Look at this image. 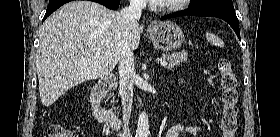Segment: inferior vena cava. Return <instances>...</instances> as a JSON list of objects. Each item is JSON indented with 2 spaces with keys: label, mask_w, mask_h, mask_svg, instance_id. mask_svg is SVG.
Instances as JSON below:
<instances>
[{
  "label": "inferior vena cava",
  "mask_w": 280,
  "mask_h": 137,
  "mask_svg": "<svg viewBox=\"0 0 280 137\" xmlns=\"http://www.w3.org/2000/svg\"><path fill=\"white\" fill-rule=\"evenodd\" d=\"M144 7V0H130V5L120 12V16L125 22V38L118 65L119 95L122 103L123 121L120 137H132L129 125L133 103L134 56L127 35L138 24V19Z\"/></svg>",
  "instance_id": "obj_1"
}]
</instances>
